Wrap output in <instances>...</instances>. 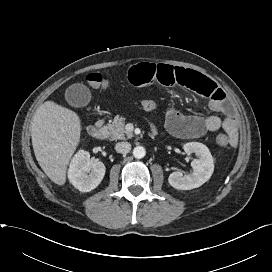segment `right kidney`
<instances>
[{
  "label": "right kidney",
  "instance_id": "1",
  "mask_svg": "<svg viewBox=\"0 0 272 272\" xmlns=\"http://www.w3.org/2000/svg\"><path fill=\"white\" fill-rule=\"evenodd\" d=\"M105 175L102 162H92L87 151L80 150L72 159L68 170L70 183L81 192L95 189Z\"/></svg>",
  "mask_w": 272,
  "mask_h": 272
}]
</instances>
